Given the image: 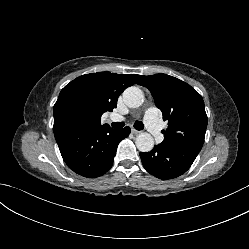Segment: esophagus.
<instances>
[{"instance_id":"esophagus-1","label":"esophagus","mask_w":249,"mask_h":249,"mask_svg":"<svg viewBox=\"0 0 249 249\" xmlns=\"http://www.w3.org/2000/svg\"><path fill=\"white\" fill-rule=\"evenodd\" d=\"M131 132H132L133 134H140V133H141V131L136 130V129H134V128L131 129Z\"/></svg>"}]
</instances>
